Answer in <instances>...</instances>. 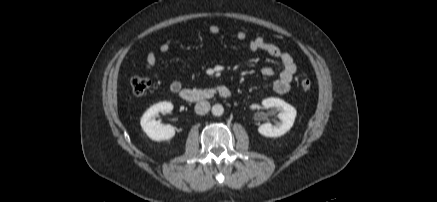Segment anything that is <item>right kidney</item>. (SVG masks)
<instances>
[{
	"label": "right kidney",
	"mask_w": 437,
	"mask_h": 202,
	"mask_svg": "<svg viewBox=\"0 0 437 202\" xmlns=\"http://www.w3.org/2000/svg\"><path fill=\"white\" fill-rule=\"evenodd\" d=\"M173 105L170 102H159L151 106L142 116L140 124L146 135L154 141L169 140L175 135V128L171 125H162L156 121L159 113H169Z\"/></svg>",
	"instance_id": "obj_1"
}]
</instances>
